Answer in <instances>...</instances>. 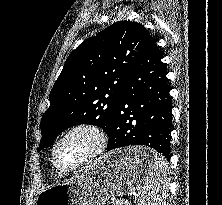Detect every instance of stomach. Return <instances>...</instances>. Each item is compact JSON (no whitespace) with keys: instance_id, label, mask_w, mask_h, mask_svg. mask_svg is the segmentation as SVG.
Listing matches in <instances>:
<instances>
[{"instance_id":"obj_1","label":"stomach","mask_w":222,"mask_h":205,"mask_svg":"<svg viewBox=\"0 0 222 205\" xmlns=\"http://www.w3.org/2000/svg\"><path fill=\"white\" fill-rule=\"evenodd\" d=\"M148 147L119 149L96 159L70 180L40 191L36 205H103L111 197L124 196L145 181Z\"/></svg>"}]
</instances>
